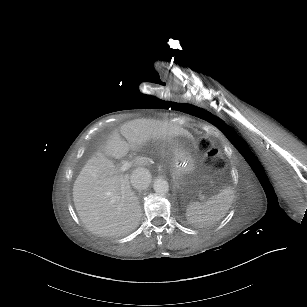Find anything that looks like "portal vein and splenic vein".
<instances>
[{
  "mask_svg": "<svg viewBox=\"0 0 307 307\" xmlns=\"http://www.w3.org/2000/svg\"><path fill=\"white\" fill-rule=\"evenodd\" d=\"M134 166V161L132 159H123V163L120 165V170L122 172H127L129 170V168H132ZM113 174V173H112ZM201 197V199L204 201L206 199V197L204 196V194L201 192L199 194Z\"/></svg>",
  "mask_w": 307,
  "mask_h": 307,
  "instance_id": "portal-vein-and-splenic-vein-1",
  "label": "portal vein and splenic vein"
}]
</instances>
